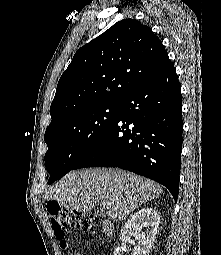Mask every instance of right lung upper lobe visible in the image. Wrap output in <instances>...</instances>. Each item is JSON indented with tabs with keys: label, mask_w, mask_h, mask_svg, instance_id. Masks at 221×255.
I'll return each mask as SVG.
<instances>
[{
	"label": "right lung upper lobe",
	"mask_w": 221,
	"mask_h": 255,
	"mask_svg": "<svg viewBox=\"0 0 221 255\" xmlns=\"http://www.w3.org/2000/svg\"><path fill=\"white\" fill-rule=\"evenodd\" d=\"M168 59L148 26L130 18L115 23L75 53L58 82L46 130L84 108L120 103Z\"/></svg>",
	"instance_id": "right-lung-upper-lobe-1"
}]
</instances>
